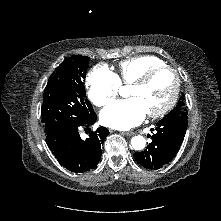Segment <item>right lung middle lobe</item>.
<instances>
[{"label":"right lung middle lobe","instance_id":"right-lung-middle-lobe-1","mask_svg":"<svg viewBox=\"0 0 221 221\" xmlns=\"http://www.w3.org/2000/svg\"><path fill=\"white\" fill-rule=\"evenodd\" d=\"M89 60L81 55L71 56L51 74L41 107L46 134L82 122L94 113L83 83Z\"/></svg>","mask_w":221,"mask_h":221}]
</instances>
